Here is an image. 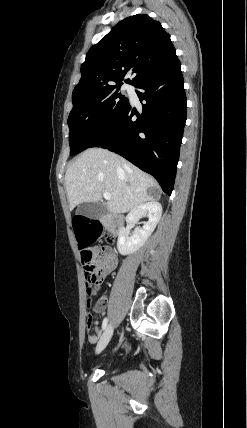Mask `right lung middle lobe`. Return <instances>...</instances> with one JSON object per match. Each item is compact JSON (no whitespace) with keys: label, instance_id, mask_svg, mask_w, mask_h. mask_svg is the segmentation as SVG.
Masks as SVG:
<instances>
[{"label":"right lung middle lobe","instance_id":"dd1d6c3e","mask_svg":"<svg viewBox=\"0 0 247 428\" xmlns=\"http://www.w3.org/2000/svg\"><path fill=\"white\" fill-rule=\"evenodd\" d=\"M68 117L70 154L89 148L124 112L129 99L120 86L78 96Z\"/></svg>","mask_w":247,"mask_h":428}]
</instances>
